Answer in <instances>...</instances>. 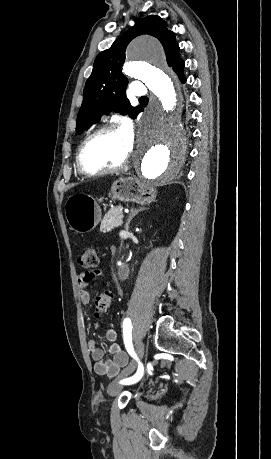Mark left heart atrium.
Listing matches in <instances>:
<instances>
[{"instance_id":"1","label":"left heart atrium","mask_w":271,"mask_h":459,"mask_svg":"<svg viewBox=\"0 0 271 459\" xmlns=\"http://www.w3.org/2000/svg\"><path fill=\"white\" fill-rule=\"evenodd\" d=\"M122 133L127 138L128 142L130 143L131 147H133L135 138H136V130L135 126L131 121H124L121 128Z\"/></svg>"}]
</instances>
